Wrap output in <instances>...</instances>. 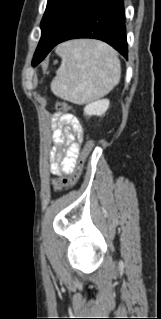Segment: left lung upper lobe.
<instances>
[{
	"mask_svg": "<svg viewBox=\"0 0 161 319\" xmlns=\"http://www.w3.org/2000/svg\"><path fill=\"white\" fill-rule=\"evenodd\" d=\"M100 0H48L41 21V39L33 58V66L42 61L46 52Z\"/></svg>",
	"mask_w": 161,
	"mask_h": 319,
	"instance_id": "obj_1",
	"label": "left lung upper lobe"
}]
</instances>
